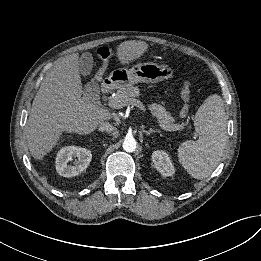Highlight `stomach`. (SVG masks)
<instances>
[{
	"mask_svg": "<svg viewBox=\"0 0 261 261\" xmlns=\"http://www.w3.org/2000/svg\"><path fill=\"white\" fill-rule=\"evenodd\" d=\"M174 71L168 65L156 63H138L129 70L117 68L110 74V81L118 87L132 86L138 83H158L172 78Z\"/></svg>",
	"mask_w": 261,
	"mask_h": 261,
	"instance_id": "obj_1",
	"label": "stomach"
}]
</instances>
